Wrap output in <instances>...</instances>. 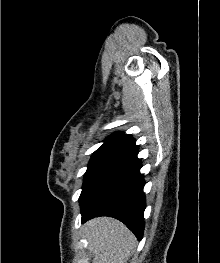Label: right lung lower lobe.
Instances as JSON below:
<instances>
[{
    "label": "right lung lower lobe",
    "instance_id": "right-lung-lower-lobe-1",
    "mask_svg": "<svg viewBox=\"0 0 220 263\" xmlns=\"http://www.w3.org/2000/svg\"><path fill=\"white\" fill-rule=\"evenodd\" d=\"M137 153L138 146L124 150L99 171L79 199L82 223L97 216H111L126 224L138 240L142 239L145 195Z\"/></svg>",
    "mask_w": 220,
    "mask_h": 263
}]
</instances>
